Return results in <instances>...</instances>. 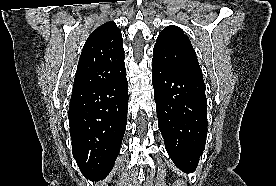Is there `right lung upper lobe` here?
Returning a JSON list of instances; mask_svg holds the SVG:
<instances>
[{"label": "right lung upper lobe", "mask_w": 276, "mask_h": 186, "mask_svg": "<svg viewBox=\"0 0 276 186\" xmlns=\"http://www.w3.org/2000/svg\"><path fill=\"white\" fill-rule=\"evenodd\" d=\"M125 74L121 30L115 22H106L95 29L85 42L73 89L111 83Z\"/></svg>", "instance_id": "obj_1"}]
</instances>
